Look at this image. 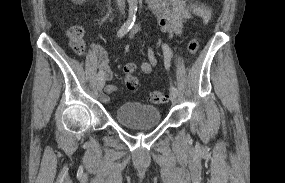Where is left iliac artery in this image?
Segmentation results:
<instances>
[{"instance_id":"1","label":"left iliac artery","mask_w":285,"mask_h":183,"mask_svg":"<svg viewBox=\"0 0 285 183\" xmlns=\"http://www.w3.org/2000/svg\"><path fill=\"white\" fill-rule=\"evenodd\" d=\"M163 53H164V63L166 69L170 67V60H171V50L167 44L162 45ZM171 92L178 94V90L175 86L170 87Z\"/></svg>"}]
</instances>
